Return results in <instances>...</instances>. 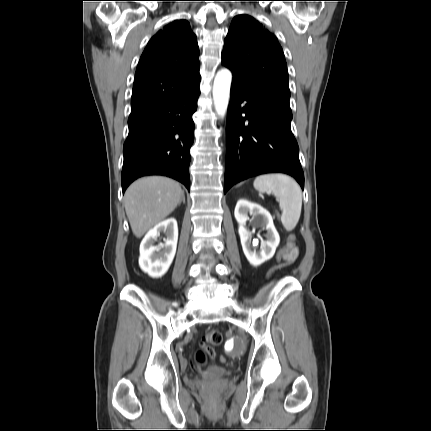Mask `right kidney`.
<instances>
[{
    "label": "right kidney",
    "mask_w": 431,
    "mask_h": 431,
    "mask_svg": "<svg viewBox=\"0 0 431 431\" xmlns=\"http://www.w3.org/2000/svg\"><path fill=\"white\" fill-rule=\"evenodd\" d=\"M163 233L165 243L154 246L157 237ZM178 226L174 218L157 224L143 238L140 244L139 266L153 278L162 277L169 269L177 248Z\"/></svg>",
    "instance_id": "obj_1"
}]
</instances>
